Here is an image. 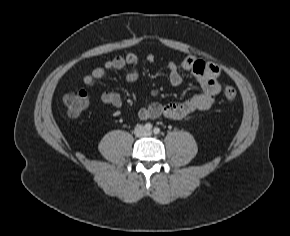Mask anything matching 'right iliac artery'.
Segmentation results:
<instances>
[{
	"instance_id": "1",
	"label": "right iliac artery",
	"mask_w": 290,
	"mask_h": 236,
	"mask_svg": "<svg viewBox=\"0 0 290 236\" xmlns=\"http://www.w3.org/2000/svg\"><path fill=\"white\" fill-rule=\"evenodd\" d=\"M144 127H145V129L148 130V131L152 130V128H153V126H152L151 123H146Z\"/></svg>"
}]
</instances>
